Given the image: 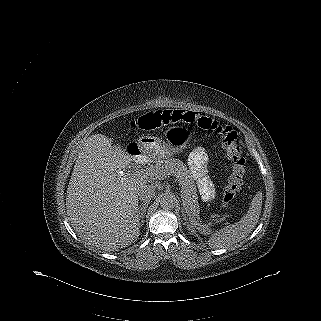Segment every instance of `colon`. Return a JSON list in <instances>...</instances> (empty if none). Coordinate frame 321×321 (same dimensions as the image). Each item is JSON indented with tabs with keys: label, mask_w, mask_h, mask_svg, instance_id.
<instances>
[{
	"label": "colon",
	"mask_w": 321,
	"mask_h": 321,
	"mask_svg": "<svg viewBox=\"0 0 321 321\" xmlns=\"http://www.w3.org/2000/svg\"><path fill=\"white\" fill-rule=\"evenodd\" d=\"M173 123L195 124L203 129L214 130L223 138V145L234 165L233 173L222 196L223 204H229L235 198L244 178L245 159L242 156L240 147L236 143V131L227 124L218 123L207 116L184 110L151 112L132 122V127L142 130H156Z\"/></svg>",
	"instance_id": "obj_1"
}]
</instances>
